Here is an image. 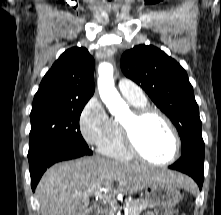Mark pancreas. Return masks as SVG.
Masks as SVG:
<instances>
[{
    "mask_svg": "<svg viewBox=\"0 0 221 215\" xmlns=\"http://www.w3.org/2000/svg\"><path fill=\"white\" fill-rule=\"evenodd\" d=\"M128 215H139L146 208L152 207V205L146 200H127L125 202ZM106 215H114L113 208L106 210Z\"/></svg>",
    "mask_w": 221,
    "mask_h": 215,
    "instance_id": "1",
    "label": "pancreas"
}]
</instances>
